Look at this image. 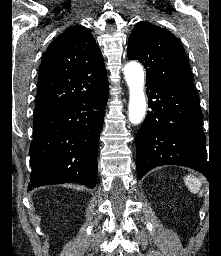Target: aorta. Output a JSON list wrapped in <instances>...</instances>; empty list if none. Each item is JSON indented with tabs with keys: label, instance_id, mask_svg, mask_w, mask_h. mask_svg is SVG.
<instances>
[{
	"label": "aorta",
	"instance_id": "obj_1",
	"mask_svg": "<svg viewBox=\"0 0 221 256\" xmlns=\"http://www.w3.org/2000/svg\"><path fill=\"white\" fill-rule=\"evenodd\" d=\"M124 75L129 88V121L137 125L146 114V99L144 94V71L137 62H129L124 67Z\"/></svg>",
	"mask_w": 221,
	"mask_h": 256
}]
</instances>
